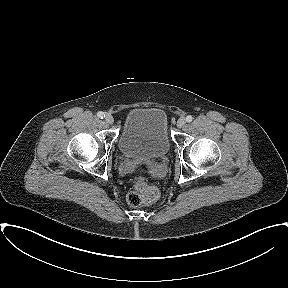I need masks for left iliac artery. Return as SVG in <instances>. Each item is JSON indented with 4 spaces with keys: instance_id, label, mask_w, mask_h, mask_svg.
Returning a JSON list of instances; mask_svg holds the SVG:
<instances>
[{
    "instance_id": "1",
    "label": "left iliac artery",
    "mask_w": 288,
    "mask_h": 288,
    "mask_svg": "<svg viewBox=\"0 0 288 288\" xmlns=\"http://www.w3.org/2000/svg\"><path fill=\"white\" fill-rule=\"evenodd\" d=\"M193 120V117L191 116V115H188L187 117H186V121L187 122H191Z\"/></svg>"
}]
</instances>
